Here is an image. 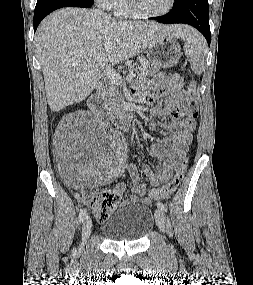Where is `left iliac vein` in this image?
<instances>
[{"instance_id":"4c4485c4","label":"left iliac vein","mask_w":253,"mask_h":285,"mask_svg":"<svg viewBox=\"0 0 253 285\" xmlns=\"http://www.w3.org/2000/svg\"><path fill=\"white\" fill-rule=\"evenodd\" d=\"M155 220L156 223L159 227V229L164 232L165 231V217H164V213L162 210H160L159 208L155 211Z\"/></svg>"}]
</instances>
